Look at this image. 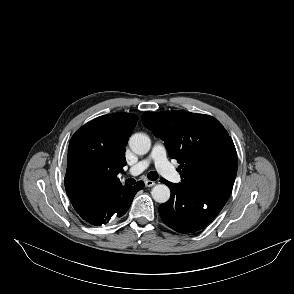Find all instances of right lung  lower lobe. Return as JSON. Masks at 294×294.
<instances>
[{
  "mask_svg": "<svg viewBox=\"0 0 294 294\" xmlns=\"http://www.w3.org/2000/svg\"><path fill=\"white\" fill-rule=\"evenodd\" d=\"M144 183L139 181L132 187H123L113 192L102 203L89 209H76V212L88 223L96 226L108 223L111 217H121L129 209L135 194L143 189Z\"/></svg>",
  "mask_w": 294,
  "mask_h": 294,
  "instance_id": "98d812e1",
  "label": "right lung lower lobe"
}]
</instances>
